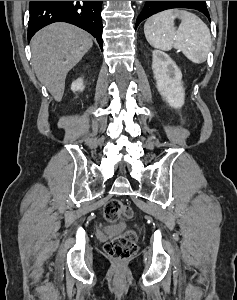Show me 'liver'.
<instances>
[{
	"mask_svg": "<svg viewBox=\"0 0 237 300\" xmlns=\"http://www.w3.org/2000/svg\"><path fill=\"white\" fill-rule=\"evenodd\" d=\"M93 45L92 37L68 23H53L31 41V63L36 77L55 101H61L67 73Z\"/></svg>",
	"mask_w": 237,
	"mask_h": 300,
	"instance_id": "6515ba94",
	"label": "liver"
}]
</instances>
